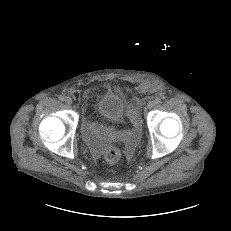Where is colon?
I'll list each match as a JSON object with an SVG mask.
<instances>
[{"label":"colon","mask_w":231,"mask_h":231,"mask_svg":"<svg viewBox=\"0 0 231 231\" xmlns=\"http://www.w3.org/2000/svg\"><path fill=\"white\" fill-rule=\"evenodd\" d=\"M151 87L154 89L159 88V86L156 84L145 83L141 87V90L142 91H148ZM127 112H128L130 119L132 120V122L138 123L139 119H138V116H137V113L135 112V110L132 107H128ZM121 155H122V153H121L120 148H118L117 146H112L106 151L104 158H105L106 162H108L109 164H115L121 159Z\"/></svg>","instance_id":"colon-1"}]
</instances>
